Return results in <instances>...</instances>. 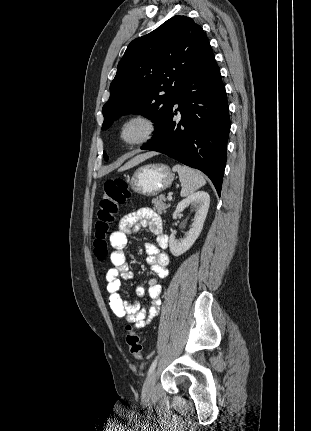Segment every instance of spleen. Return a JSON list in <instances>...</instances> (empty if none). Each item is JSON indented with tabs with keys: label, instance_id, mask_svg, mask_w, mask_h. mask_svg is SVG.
I'll list each match as a JSON object with an SVG mask.
<instances>
[{
	"label": "spleen",
	"instance_id": "spleen-1",
	"mask_svg": "<svg viewBox=\"0 0 311 431\" xmlns=\"http://www.w3.org/2000/svg\"><path fill=\"white\" fill-rule=\"evenodd\" d=\"M172 172H177L182 184V190L180 192L181 198L190 196V194H193V192H196V190H199V188H202V186L206 184V180H204L201 172L192 170V168H187V166L176 164V166H173Z\"/></svg>",
	"mask_w": 311,
	"mask_h": 431
}]
</instances>
